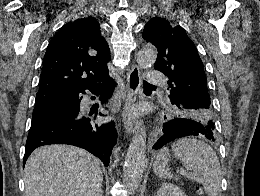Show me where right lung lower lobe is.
I'll list each match as a JSON object with an SVG mask.
<instances>
[{
  "mask_svg": "<svg viewBox=\"0 0 260 196\" xmlns=\"http://www.w3.org/2000/svg\"><path fill=\"white\" fill-rule=\"evenodd\" d=\"M115 83L109 78L85 90L100 95L101 103L104 104L111 97ZM85 90L68 95L62 99L53 101L45 106L46 109L66 113L71 118L48 123L31 129L25 146L24 164L34 149L47 144H69L86 149L98 157L105 166L109 165V158L113 146L116 143V130L113 122L102 124L95 122L96 116H105L97 112L95 116L80 114V101ZM93 98V97H92Z\"/></svg>",
  "mask_w": 260,
  "mask_h": 196,
  "instance_id": "obj_1",
  "label": "right lung lower lobe"
}]
</instances>
